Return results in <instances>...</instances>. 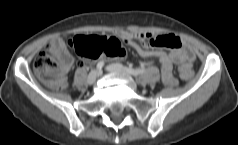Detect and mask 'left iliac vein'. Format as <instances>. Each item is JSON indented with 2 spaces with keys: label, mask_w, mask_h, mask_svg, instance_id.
<instances>
[{
  "label": "left iliac vein",
  "mask_w": 238,
  "mask_h": 145,
  "mask_svg": "<svg viewBox=\"0 0 238 145\" xmlns=\"http://www.w3.org/2000/svg\"><path fill=\"white\" fill-rule=\"evenodd\" d=\"M107 70L111 73L116 74H123L125 75L131 82H133L131 76L126 71L125 67H123L121 64L114 63L107 66Z\"/></svg>",
  "instance_id": "left-iliac-vein-1"
}]
</instances>
